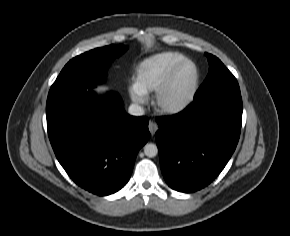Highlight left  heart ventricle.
Listing matches in <instances>:
<instances>
[{
    "label": "left heart ventricle",
    "mask_w": 290,
    "mask_h": 236,
    "mask_svg": "<svg viewBox=\"0 0 290 236\" xmlns=\"http://www.w3.org/2000/svg\"><path fill=\"white\" fill-rule=\"evenodd\" d=\"M194 74L193 66H185L176 76L171 88L164 97V102L172 104L183 99L191 90Z\"/></svg>",
    "instance_id": "obj_1"
}]
</instances>
